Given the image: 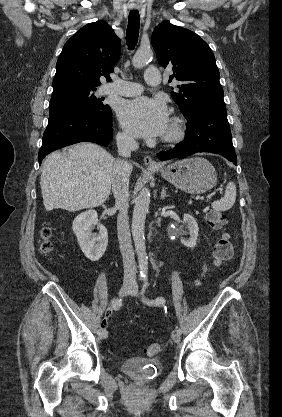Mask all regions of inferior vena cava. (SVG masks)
<instances>
[{"label":"inferior vena cava","instance_id":"inferior-vena-cava-1","mask_svg":"<svg viewBox=\"0 0 282 417\" xmlns=\"http://www.w3.org/2000/svg\"><path fill=\"white\" fill-rule=\"evenodd\" d=\"M116 144L120 156H130L131 150L138 148V142L126 132H118ZM131 172L132 164L130 162L116 160L112 170V190L116 200L115 206L119 211L117 233L123 259L124 281L136 283L137 269L128 223V186Z\"/></svg>","mask_w":282,"mask_h":417}]
</instances>
